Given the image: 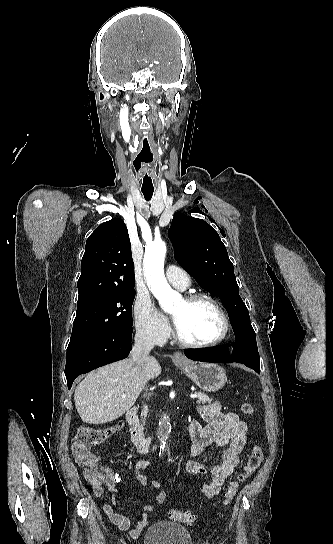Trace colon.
<instances>
[{
	"label": "colon",
	"mask_w": 333,
	"mask_h": 544,
	"mask_svg": "<svg viewBox=\"0 0 333 544\" xmlns=\"http://www.w3.org/2000/svg\"><path fill=\"white\" fill-rule=\"evenodd\" d=\"M241 411L245 415L251 416L254 414V407L251 403L244 402L241 404ZM121 428L122 423L118 422L108 427H81L76 432L72 443L73 455L76 463L84 469L85 477L92 486L100 484L104 476L92 448L120 431ZM262 461L263 450L259 445H255L249 452L236 480L227 487L223 501L225 505L232 502L240 486L255 473ZM168 516L171 520L188 526H192L195 521L192 514L179 509L171 510Z\"/></svg>",
	"instance_id": "obj_1"
}]
</instances>
